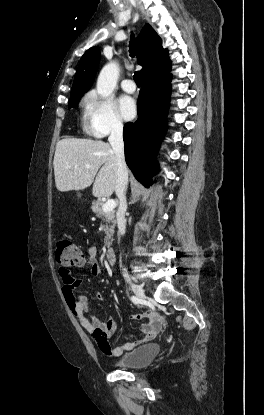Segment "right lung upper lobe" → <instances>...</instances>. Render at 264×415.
I'll list each match as a JSON object with an SVG mask.
<instances>
[{"instance_id":"cb5924a9","label":"right lung upper lobe","mask_w":264,"mask_h":415,"mask_svg":"<svg viewBox=\"0 0 264 415\" xmlns=\"http://www.w3.org/2000/svg\"><path fill=\"white\" fill-rule=\"evenodd\" d=\"M138 64L141 69L142 81L149 78L168 74L171 70V61L168 50L162 47L161 38L150 24H146L138 36ZM100 60L97 47L87 50L82 56L75 74L71 95H83L91 87L94 75Z\"/></svg>"}]
</instances>
